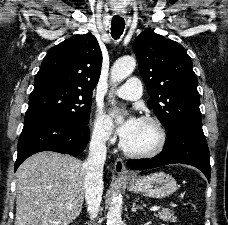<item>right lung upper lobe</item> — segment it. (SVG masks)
Returning a JSON list of instances; mask_svg holds the SVG:
<instances>
[{"mask_svg": "<svg viewBox=\"0 0 228 225\" xmlns=\"http://www.w3.org/2000/svg\"><path fill=\"white\" fill-rule=\"evenodd\" d=\"M101 65L97 39L91 34L74 35L50 48L34 85L55 82L91 92L99 80Z\"/></svg>", "mask_w": 228, "mask_h": 225, "instance_id": "obj_1", "label": "right lung upper lobe"}]
</instances>
